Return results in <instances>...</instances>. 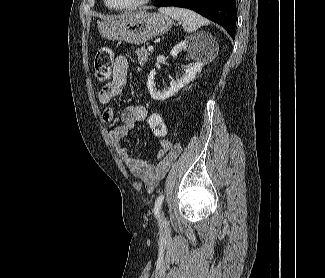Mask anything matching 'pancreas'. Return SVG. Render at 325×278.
Listing matches in <instances>:
<instances>
[{"label": "pancreas", "instance_id": "cf45deb5", "mask_svg": "<svg viewBox=\"0 0 325 278\" xmlns=\"http://www.w3.org/2000/svg\"><path fill=\"white\" fill-rule=\"evenodd\" d=\"M150 53L151 52L149 50H147L145 47H141L136 50L138 62L140 65H143L146 63L148 57L150 56Z\"/></svg>", "mask_w": 325, "mask_h": 278}]
</instances>
